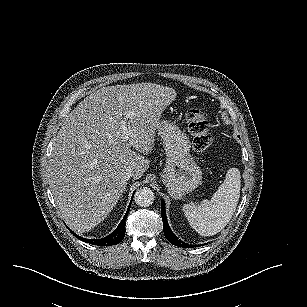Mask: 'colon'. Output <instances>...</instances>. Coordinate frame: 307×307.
I'll return each instance as SVG.
<instances>
[{"label": "colon", "instance_id": "5ec220e1", "mask_svg": "<svg viewBox=\"0 0 307 307\" xmlns=\"http://www.w3.org/2000/svg\"><path fill=\"white\" fill-rule=\"evenodd\" d=\"M189 131L193 137V148L197 152H206L213 144L211 124L206 110L192 108L186 114Z\"/></svg>", "mask_w": 307, "mask_h": 307}]
</instances>
